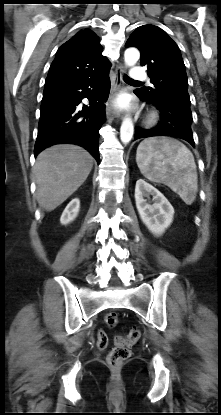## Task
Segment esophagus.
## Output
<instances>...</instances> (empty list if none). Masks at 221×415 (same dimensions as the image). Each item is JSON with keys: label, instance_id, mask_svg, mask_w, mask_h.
<instances>
[{"label": "esophagus", "instance_id": "1", "mask_svg": "<svg viewBox=\"0 0 221 415\" xmlns=\"http://www.w3.org/2000/svg\"><path fill=\"white\" fill-rule=\"evenodd\" d=\"M125 72L126 67L123 64H120L116 67L114 85L110 95L111 106L109 108V114L117 119H121L123 117L121 110L115 106V99L123 87V77Z\"/></svg>", "mask_w": 221, "mask_h": 415}]
</instances>
